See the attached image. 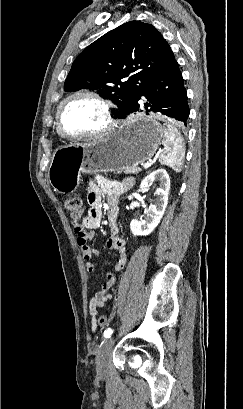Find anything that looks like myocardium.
I'll return each instance as SVG.
<instances>
[{
    "instance_id": "f54148a6",
    "label": "myocardium",
    "mask_w": 243,
    "mask_h": 409,
    "mask_svg": "<svg viewBox=\"0 0 243 409\" xmlns=\"http://www.w3.org/2000/svg\"><path fill=\"white\" fill-rule=\"evenodd\" d=\"M76 97L91 98L102 107L105 124L101 129L91 132V133L81 134V135H69L64 132L62 128V124H61V116H62L63 109L70 100ZM115 127H116V120L113 116L111 102L107 100L105 97H103L101 94H99L98 92H95L92 90L83 89V90H78L76 92H73L72 94L64 98L57 108L56 129H57L58 134L67 140L75 141V140H85V139H90V138L101 137V136H104L112 132L115 129Z\"/></svg>"
}]
</instances>
